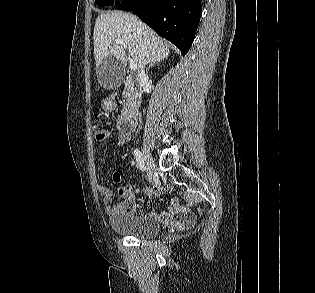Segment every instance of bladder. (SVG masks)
Listing matches in <instances>:
<instances>
[{
    "label": "bladder",
    "instance_id": "bladder-1",
    "mask_svg": "<svg viewBox=\"0 0 315 293\" xmlns=\"http://www.w3.org/2000/svg\"><path fill=\"white\" fill-rule=\"evenodd\" d=\"M109 224L116 233L136 238H151L160 232L157 220L132 212L112 213L109 216Z\"/></svg>",
    "mask_w": 315,
    "mask_h": 293
}]
</instances>
